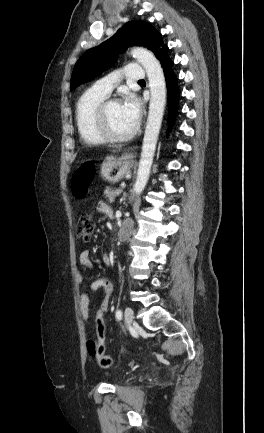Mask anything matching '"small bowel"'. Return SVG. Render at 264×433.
I'll use <instances>...</instances> for the list:
<instances>
[{
	"label": "small bowel",
	"mask_w": 264,
	"mask_h": 433,
	"mask_svg": "<svg viewBox=\"0 0 264 433\" xmlns=\"http://www.w3.org/2000/svg\"><path fill=\"white\" fill-rule=\"evenodd\" d=\"M97 210L109 216L112 215L111 208L103 201L98 202ZM79 262L82 266L89 268L92 267V262L87 251H82L80 253ZM106 262L110 263L108 257H106ZM77 281L80 285L83 284V277L80 273L77 274ZM99 289H103L105 292V298L102 305L107 309L109 300L113 293V284L106 278H99L90 284V290L97 291ZM80 312L84 320L88 321L90 319V297L87 293H82L80 296ZM97 348V340L90 339L87 341V352L90 356L95 357L97 355Z\"/></svg>",
	"instance_id": "c3829d8e"
}]
</instances>
